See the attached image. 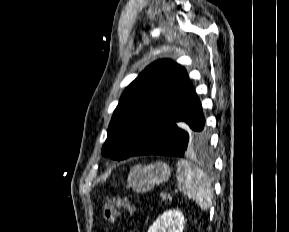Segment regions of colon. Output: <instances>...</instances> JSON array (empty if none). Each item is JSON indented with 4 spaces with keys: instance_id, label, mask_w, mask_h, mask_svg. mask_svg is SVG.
<instances>
[{
    "instance_id": "5ec220e1",
    "label": "colon",
    "mask_w": 289,
    "mask_h": 232,
    "mask_svg": "<svg viewBox=\"0 0 289 232\" xmlns=\"http://www.w3.org/2000/svg\"><path fill=\"white\" fill-rule=\"evenodd\" d=\"M120 209L126 210L130 215H133L134 213V207L127 198L112 196H105L103 198L104 218L111 225L115 224Z\"/></svg>"
}]
</instances>
